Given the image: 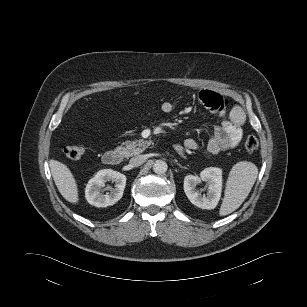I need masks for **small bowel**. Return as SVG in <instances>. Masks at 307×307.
<instances>
[{"instance_id":"c3829d8e","label":"small bowel","mask_w":307,"mask_h":307,"mask_svg":"<svg viewBox=\"0 0 307 307\" xmlns=\"http://www.w3.org/2000/svg\"><path fill=\"white\" fill-rule=\"evenodd\" d=\"M199 101L211 113L223 119L221 125L214 128L212 136L206 145L205 153L209 156H214L222 151L235 148L243 135L242 125L245 121L243 109L239 105H235L225 116L224 110L228 107V100L208 90L199 93ZM161 109L164 113H170L173 111L174 105L170 101H164L161 104ZM199 147L195 139L188 138L184 142V148L187 150L194 151L198 150ZM177 150L181 152L182 148Z\"/></svg>"}]
</instances>
